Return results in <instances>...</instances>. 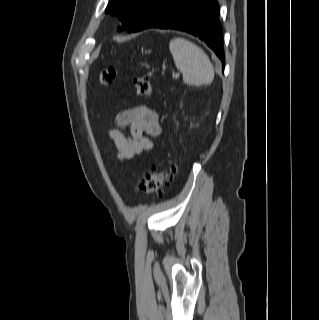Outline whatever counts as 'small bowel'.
Masks as SVG:
<instances>
[{
  "label": "small bowel",
  "mask_w": 319,
  "mask_h": 320,
  "mask_svg": "<svg viewBox=\"0 0 319 320\" xmlns=\"http://www.w3.org/2000/svg\"><path fill=\"white\" fill-rule=\"evenodd\" d=\"M115 122L116 127L110 129L108 134L120 160H127L150 150L153 146L152 139L161 132L157 112L145 105L120 112Z\"/></svg>",
  "instance_id": "c3829d8e"
}]
</instances>
